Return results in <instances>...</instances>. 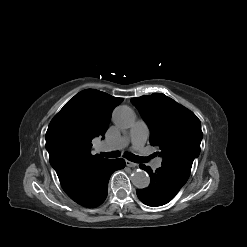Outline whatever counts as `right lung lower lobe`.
<instances>
[{
    "label": "right lung lower lobe",
    "instance_id": "obj_1",
    "mask_svg": "<svg viewBox=\"0 0 247 247\" xmlns=\"http://www.w3.org/2000/svg\"><path fill=\"white\" fill-rule=\"evenodd\" d=\"M124 167L123 159H105L93 167L68 175L60 183L65 193L76 203L94 208L106 199L111 174Z\"/></svg>",
    "mask_w": 247,
    "mask_h": 247
}]
</instances>
